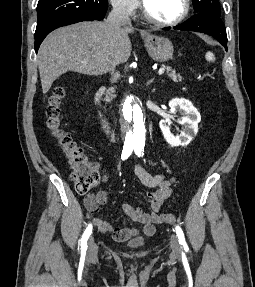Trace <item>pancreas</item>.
Wrapping results in <instances>:
<instances>
[{
  "instance_id": "obj_1",
  "label": "pancreas",
  "mask_w": 255,
  "mask_h": 287,
  "mask_svg": "<svg viewBox=\"0 0 255 287\" xmlns=\"http://www.w3.org/2000/svg\"><path fill=\"white\" fill-rule=\"evenodd\" d=\"M163 68H165V70H167V74L168 76H170L171 80H173V82H181L182 78L180 76V74H176L175 70H171V68H169V66H163ZM113 98H116V96H114V94H112V92H107L106 96H105V102H111V100H113Z\"/></svg>"
}]
</instances>
